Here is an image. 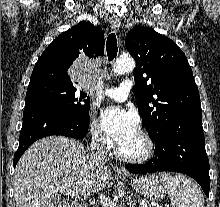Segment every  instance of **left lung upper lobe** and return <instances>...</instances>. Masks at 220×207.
Returning <instances> with one entry per match:
<instances>
[{
    "label": "left lung upper lobe",
    "instance_id": "1",
    "mask_svg": "<svg viewBox=\"0 0 220 207\" xmlns=\"http://www.w3.org/2000/svg\"><path fill=\"white\" fill-rule=\"evenodd\" d=\"M125 46L136 60L134 95L150 137H157L172 119L201 111L191 67L173 40L140 25L127 34Z\"/></svg>",
    "mask_w": 220,
    "mask_h": 207
}]
</instances>
